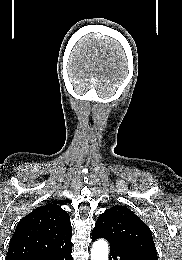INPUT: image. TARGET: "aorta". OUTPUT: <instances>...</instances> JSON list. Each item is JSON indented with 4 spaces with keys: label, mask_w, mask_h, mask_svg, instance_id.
Returning a JSON list of instances; mask_svg holds the SVG:
<instances>
[{
    "label": "aorta",
    "mask_w": 182,
    "mask_h": 260,
    "mask_svg": "<svg viewBox=\"0 0 182 260\" xmlns=\"http://www.w3.org/2000/svg\"><path fill=\"white\" fill-rule=\"evenodd\" d=\"M109 245L104 239L95 241L91 249V260H108Z\"/></svg>",
    "instance_id": "obj_1"
}]
</instances>
